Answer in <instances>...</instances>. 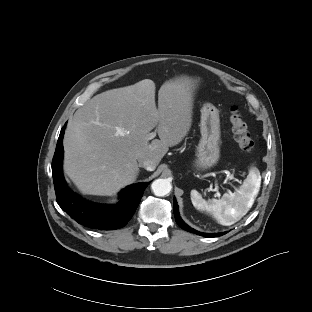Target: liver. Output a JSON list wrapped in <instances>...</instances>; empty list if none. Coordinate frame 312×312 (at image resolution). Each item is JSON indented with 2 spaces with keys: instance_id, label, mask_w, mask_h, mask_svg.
<instances>
[{
  "instance_id": "obj_1",
  "label": "liver",
  "mask_w": 312,
  "mask_h": 312,
  "mask_svg": "<svg viewBox=\"0 0 312 312\" xmlns=\"http://www.w3.org/2000/svg\"><path fill=\"white\" fill-rule=\"evenodd\" d=\"M196 83L185 76L166 81L158 92V109L150 79L94 96L68 122L67 175L89 195H112L134 182L139 158L159 164L188 134ZM155 127L160 139L149 143L147 135Z\"/></svg>"
}]
</instances>
